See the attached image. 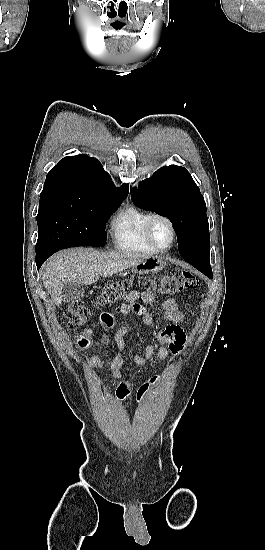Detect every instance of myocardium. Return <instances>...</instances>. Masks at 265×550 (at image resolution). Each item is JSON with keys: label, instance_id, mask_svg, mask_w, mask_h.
Here are the masks:
<instances>
[{"label": "myocardium", "instance_id": "f54148a6", "mask_svg": "<svg viewBox=\"0 0 265 550\" xmlns=\"http://www.w3.org/2000/svg\"><path fill=\"white\" fill-rule=\"evenodd\" d=\"M156 221H163L165 222L169 229H170V232H171V241H170V244L166 247H161L157 244V242L155 241L154 237H153V233H152V229H153V225ZM145 236H146V239L147 241L149 242V244L156 250V251H166V250H169L175 243L176 241V229H175V226H174V223L172 222V220L170 218H168L167 216L165 215H162V214H159V213H154L152 214L148 220L146 221V224H145Z\"/></svg>", "mask_w": 265, "mask_h": 550}]
</instances>
